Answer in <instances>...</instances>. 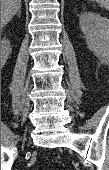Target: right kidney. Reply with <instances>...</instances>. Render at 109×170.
<instances>
[{
  "label": "right kidney",
  "mask_w": 109,
  "mask_h": 170,
  "mask_svg": "<svg viewBox=\"0 0 109 170\" xmlns=\"http://www.w3.org/2000/svg\"><path fill=\"white\" fill-rule=\"evenodd\" d=\"M10 54V41L3 39L1 41V63L4 65Z\"/></svg>",
  "instance_id": "obj_1"
}]
</instances>
